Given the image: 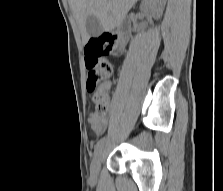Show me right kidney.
Here are the masks:
<instances>
[{"label": "right kidney", "mask_w": 223, "mask_h": 191, "mask_svg": "<svg viewBox=\"0 0 223 191\" xmlns=\"http://www.w3.org/2000/svg\"><path fill=\"white\" fill-rule=\"evenodd\" d=\"M165 4V0H143L141 4V9L145 10L150 7H157V6H163Z\"/></svg>", "instance_id": "ca27d5eb"}]
</instances>
